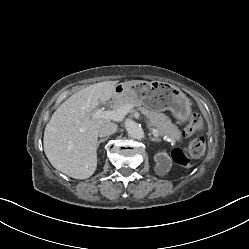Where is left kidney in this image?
I'll return each mask as SVG.
<instances>
[{
	"label": "left kidney",
	"mask_w": 249,
	"mask_h": 249,
	"mask_svg": "<svg viewBox=\"0 0 249 249\" xmlns=\"http://www.w3.org/2000/svg\"><path fill=\"white\" fill-rule=\"evenodd\" d=\"M156 174L163 176L166 175L172 167V162L170 157L167 155L165 151H160L157 155H155Z\"/></svg>",
	"instance_id": "left-kidney-1"
}]
</instances>
